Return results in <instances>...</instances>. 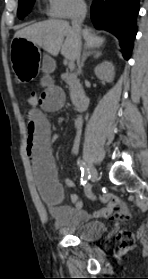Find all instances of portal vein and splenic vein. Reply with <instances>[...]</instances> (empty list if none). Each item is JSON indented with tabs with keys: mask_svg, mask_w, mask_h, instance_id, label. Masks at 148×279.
Masks as SVG:
<instances>
[{
	"mask_svg": "<svg viewBox=\"0 0 148 279\" xmlns=\"http://www.w3.org/2000/svg\"><path fill=\"white\" fill-rule=\"evenodd\" d=\"M68 67H69L70 70H73V69L75 68L74 61H70V62L68 63Z\"/></svg>",
	"mask_w": 148,
	"mask_h": 279,
	"instance_id": "obj_1",
	"label": "portal vein and splenic vein"
}]
</instances>
